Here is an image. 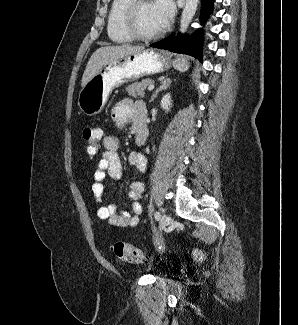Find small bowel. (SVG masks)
I'll return each instance as SVG.
<instances>
[{"label": "small bowel", "instance_id": "obj_1", "mask_svg": "<svg viewBox=\"0 0 298 325\" xmlns=\"http://www.w3.org/2000/svg\"><path fill=\"white\" fill-rule=\"evenodd\" d=\"M138 102L125 98L119 101L112 109V119L119 129H123L131 120L134 106ZM103 151L98 160L97 169L94 172L92 193L98 204L103 203L102 181L108 175L114 180H118L122 174V166L118 155L120 137L116 134H108L102 140ZM129 163L144 172L147 167V159L141 152H131L128 156ZM144 190V184L134 181L130 185L129 196L133 200L132 212L120 211L115 204L102 205L98 209V217L107 220L109 224L116 227H134L138 224L143 207L139 201Z\"/></svg>", "mask_w": 298, "mask_h": 325}]
</instances>
